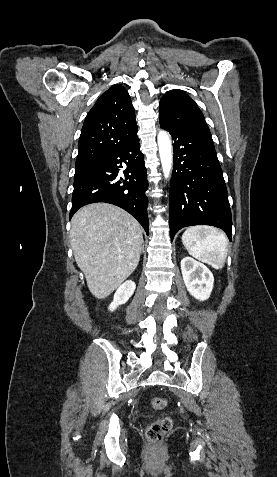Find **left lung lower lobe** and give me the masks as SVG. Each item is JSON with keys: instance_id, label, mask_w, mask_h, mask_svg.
<instances>
[{"instance_id": "obj_1", "label": "left lung lower lobe", "mask_w": 277, "mask_h": 477, "mask_svg": "<svg viewBox=\"0 0 277 477\" xmlns=\"http://www.w3.org/2000/svg\"><path fill=\"white\" fill-rule=\"evenodd\" d=\"M174 141L170 183V237L183 227L212 225L231 241L228 193L210 131L162 126Z\"/></svg>"}]
</instances>
